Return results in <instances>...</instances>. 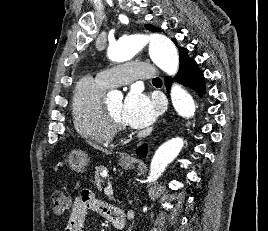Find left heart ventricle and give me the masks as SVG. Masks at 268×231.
I'll return each mask as SVG.
<instances>
[{
    "mask_svg": "<svg viewBox=\"0 0 268 231\" xmlns=\"http://www.w3.org/2000/svg\"><path fill=\"white\" fill-rule=\"evenodd\" d=\"M107 108L111 111V113L118 118L123 124L126 125L124 119H123V101L117 100L110 102L107 106Z\"/></svg>",
    "mask_w": 268,
    "mask_h": 231,
    "instance_id": "left-heart-ventricle-1",
    "label": "left heart ventricle"
}]
</instances>
